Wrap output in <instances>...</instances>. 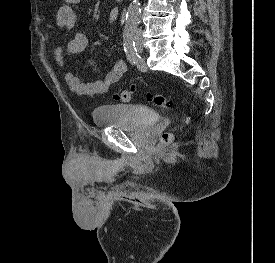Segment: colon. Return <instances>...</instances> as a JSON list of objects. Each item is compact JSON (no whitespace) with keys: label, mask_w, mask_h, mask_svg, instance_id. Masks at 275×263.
<instances>
[{"label":"colon","mask_w":275,"mask_h":263,"mask_svg":"<svg viewBox=\"0 0 275 263\" xmlns=\"http://www.w3.org/2000/svg\"><path fill=\"white\" fill-rule=\"evenodd\" d=\"M114 98L117 101H122V102H131L135 98V91L133 89H126L122 91H118L114 94ZM148 100L153 102L155 105L159 107H168L171 104V101L165 97L164 95L161 94H148L147 95ZM191 121V117L188 116L186 118V123L189 124ZM172 141V135L169 133H165L162 136V142L164 144H169Z\"/></svg>","instance_id":"colon-1"}]
</instances>
